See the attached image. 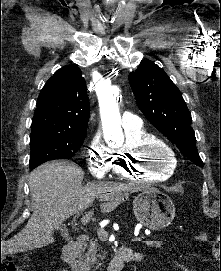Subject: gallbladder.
I'll use <instances>...</instances> for the list:
<instances>
[{
    "label": "gallbladder",
    "mask_w": 221,
    "mask_h": 271,
    "mask_svg": "<svg viewBox=\"0 0 221 271\" xmlns=\"http://www.w3.org/2000/svg\"><path fill=\"white\" fill-rule=\"evenodd\" d=\"M64 225H58V227H56V229H63Z\"/></svg>",
    "instance_id": "gallbladder-1"
}]
</instances>
